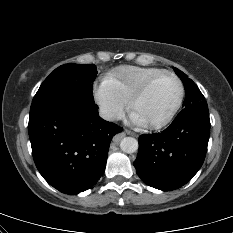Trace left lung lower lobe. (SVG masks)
<instances>
[{"label": "left lung lower lobe", "mask_w": 233, "mask_h": 233, "mask_svg": "<svg viewBox=\"0 0 233 233\" xmlns=\"http://www.w3.org/2000/svg\"><path fill=\"white\" fill-rule=\"evenodd\" d=\"M209 132L206 100L186 106L161 133L139 136L136 173L144 183L162 191L182 187L204 162Z\"/></svg>", "instance_id": "0a47b994"}]
</instances>
